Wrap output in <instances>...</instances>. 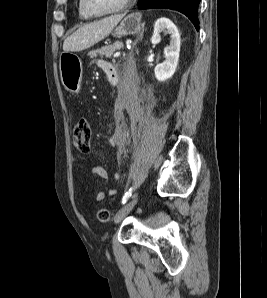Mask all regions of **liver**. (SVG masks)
<instances>
[{
    "mask_svg": "<svg viewBox=\"0 0 267 298\" xmlns=\"http://www.w3.org/2000/svg\"><path fill=\"white\" fill-rule=\"evenodd\" d=\"M123 17L124 14L112 15L80 27L65 39L64 52L82 51L93 46L108 36Z\"/></svg>",
    "mask_w": 267,
    "mask_h": 298,
    "instance_id": "6515ba94",
    "label": "liver"
}]
</instances>
